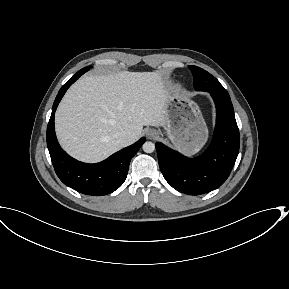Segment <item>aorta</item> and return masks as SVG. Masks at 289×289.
Listing matches in <instances>:
<instances>
[{
  "mask_svg": "<svg viewBox=\"0 0 289 289\" xmlns=\"http://www.w3.org/2000/svg\"><path fill=\"white\" fill-rule=\"evenodd\" d=\"M143 151L146 153H152L155 150V144L150 142V141H146L143 146Z\"/></svg>",
  "mask_w": 289,
  "mask_h": 289,
  "instance_id": "obj_1",
  "label": "aorta"
}]
</instances>
